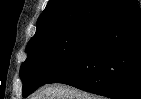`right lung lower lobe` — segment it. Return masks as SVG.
Here are the masks:
<instances>
[{"instance_id":"right-lung-lower-lobe-1","label":"right lung lower lobe","mask_w":141,"mask_h":99,"mask_svg":"<svg viewBox=\"0 0 141 99\" xmlns=\"http://www.w3.org/2000/svg\"><path fill=\"white\" fill-rule=\"evenodd\" d=\"M47 83H64L112 99H141L138 4L101 21L80 53Z\"/></svg>"}]
</instances>
